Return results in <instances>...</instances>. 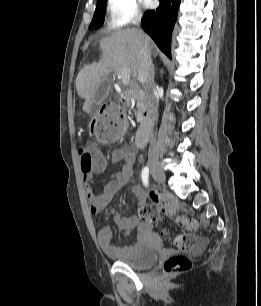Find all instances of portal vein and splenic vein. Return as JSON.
<instances>
[{
  "mask_svg": "<svg viewBox=\"0 0 261 306\" xmlns=\"http://www.w3.org/2000/svg\"><path fill=\"white\" fill-rule=\"evenodd\" d=\"M130 76H131V69L130 68H123L118 73V78H120L122 80V83L126 86H128L129 83H130Z\"/></svg>",
  "mask_w": 261,
  "mask_h": 306,
  "instance_id": "portal-vein-and-splenic-vein-1",
  "label": "portal vein and splenic vein"
}]
</instances>
